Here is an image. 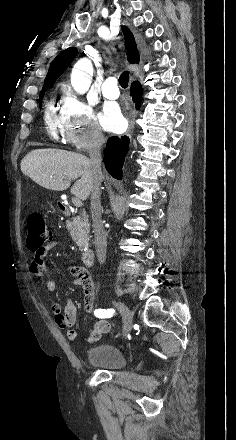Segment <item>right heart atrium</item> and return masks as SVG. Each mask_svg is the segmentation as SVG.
Masks as SVG:
<instances>
[{
	"instance_id": "d8ad5b80",
	"label": "right heart atrium",
	"mask_w": 236,
	"mask_h": 440,
	"mask_svg": "<svg viewBox=\"0 0 236 440\" xmlns=\"http://www.w3.org/2000/svg\"><path fill=\"white\" fill-rule=\"evenodd\" d=\"M62 94L59 119L63 140L77 150L98 149L104 136L92 106L69 89Z\"/></svg>"
}]
</instances>
